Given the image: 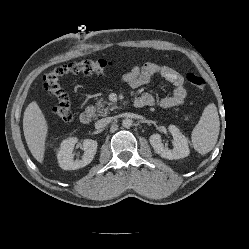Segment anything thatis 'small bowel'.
Masks as SVG:
<instances>
[{
    "mask_svg": "<svg viewBox=\"0 0 249 249\" xmlns=\"http://www.w3.org/2000/svg\"><path fill=\"white\" fill-rule=\"evenodd\" d=\"M159 75L174 86L170 96L162 97L157 101L159 107L167 109L184 105L187 91L185 88L184 77L176 70L162 64L147 62L135 65L129 72L125 73L121 80L131 88L142 87L154 76ZM142 100L138 107L151 106L155 99L149 93H143L135 100Z\"/></svg>",
    "mask_w": 249,
    "mask_h": 249,
    "instance_id": "1",
    "label": "small bowel"
}]
</instances>
